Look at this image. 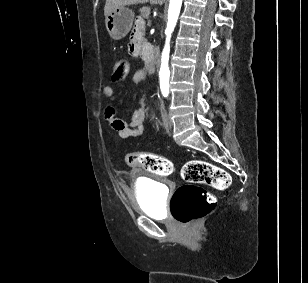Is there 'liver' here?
Instances as JSON below:
<instances>
[{"label": "liver", "mask_w": 308, "mask_h": 283, "mask_svg": "<svg viewBox=\"0 0 308 283\" xmlns=\"http://www.w3.org/2000/svg\"><path fill=\"white\" fill-rule=\"evenodd\" d=\"M150 1V3L162 4L163 0H106L104 7L105 16L109 15L114 9L120 6L134 5V4H144Z\"/></svg>", "instance_id": "obj_1"}]
</instances>
